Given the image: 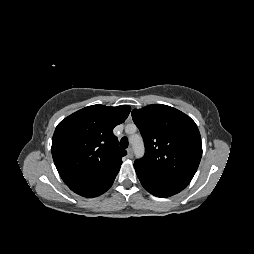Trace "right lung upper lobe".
I'll use <instances>...</instances> for the list:
<instances>
[{
  "label": "right lung upper lobe",
  "instance_id": "obj_1",
  "mask_svg": "<svg viewBox=\"0 0 254 254\" xmlns=\"http://www.w3.org/2000/svg\"><path fill=\"white\" fill-rule=\"evenodd\" d=\"M130 110L128 105H92L57 125L51 151L55 166L67 185L120 169L126 151L119 147L113 129L126 120Z\"/></svg>",
  "mask_w": 254,
  "mask_h": 254
}]
</instances>
